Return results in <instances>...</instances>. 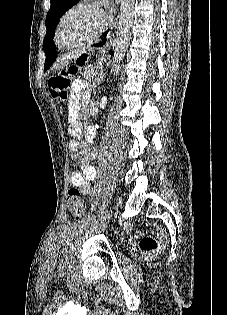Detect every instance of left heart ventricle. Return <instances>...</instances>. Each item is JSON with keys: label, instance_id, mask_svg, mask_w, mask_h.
I'll use <instances>...</instances> for the list:
<instances>
[{"label": "left heart ventricle", "instance_id": "obj_1", "mask_svg": "<svg viewBox=\"0 0 227 315\" xmlns=\"http://www.w3.org/2000/svg\"><path fill=\"white\" fill-rule=\"evenodd\" d=\"M101 21L100 14L93 9L73 11L62 25L59 42L62 45L75 43L92 34Z\"/></svg>", "mask_w": 227, "mask_h": 315}]
</instances>
